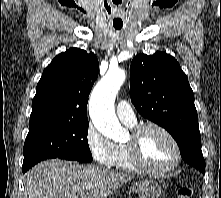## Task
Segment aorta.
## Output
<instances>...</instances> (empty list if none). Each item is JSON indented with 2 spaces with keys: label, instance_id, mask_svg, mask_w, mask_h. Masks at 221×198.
<instances>
[{
  "label": "aorta",
  "instance_id": "aorta-1",
  "mask_svg": "<svg viewBox=\"0 0 221 198\" xmlns=\"http://www.w3.org/2000/svg\"><path fill=\"white\" fill-rule=\"evenodd\" d=\"M125 78L123 70L110 69L95 86L89 101V114L94 126L112 140L121 139L126 134L114 111V100Z\"/></svg>",
  "mask_w": 221,
  "mask_h": 198
}]
</instances>
